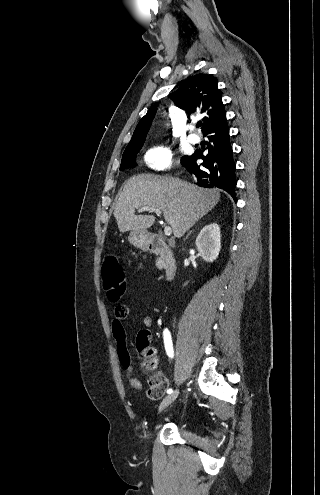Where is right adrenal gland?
I'll return each mask as SVG.
<instances>
[{"mask_svg":"<svg viewBox=\"0 0 320 495\" xmlns=\"http://www.w3.org/2000/svg\"><path fill=\"white\" fill-rule=\"evenodd\" d=\"M192 231H194V230L189 231V233L187 234L186 238H188V236L192 233Z\"/></svg>","mask_w":320,"mask_h":495,"instance_id":"right-adrenal-gland-1","label":"right adrenal gland"}]
</instances>
